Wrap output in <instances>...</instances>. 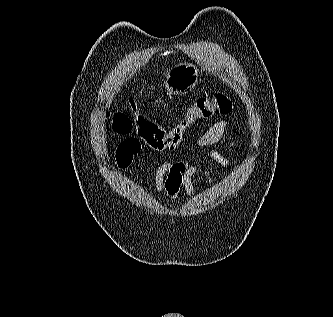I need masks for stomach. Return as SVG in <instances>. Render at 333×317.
<instances>
[{
  "label": "stomach",
  "mask_w": 333,
  "mask_h": 317,
  "mask_svg": "<svg viewBox=\"0 0 333 317\" xmlns=\"http://www.w3.org/2000/svg\"><path fill=\"white\" fill-rule=\"evenodd\" d=\"M198 76L196 66L182 63L168 72L164 85L169 93L184 95L194 89L198 82Z\"/></svg>",
  "instance_id": "stomach-1"
}]
</instances>
